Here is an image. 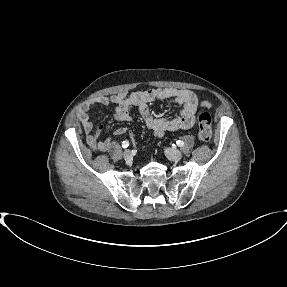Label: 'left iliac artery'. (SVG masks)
Instances as JSON below:
<instances>
[{"mask_svg": "<svg viewBox=\"0 0 287 287\" xmlns=\"http://www.w3.org/2000/svg\"><path fill=\"white\" fill-rule=\"evenodd\" d=\"M176 144L179 146V147H182L184 145V142L181 141V140H177L176 141Z\"/></svg>", "mask_w": 287, "mask_h": 287, "instance_id": "obj_1", "label": "left iliac artery"}]
</instances>
